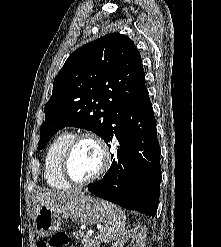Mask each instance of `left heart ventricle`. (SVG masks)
<instances>
[{"label":"left heart ventricle","instance_id":"left-heart-ventricle-1","mask_svg":"<svg viewBox=\"0 0 221 247\" xmlns=\"http://www.w3.org/2000/svg\"><path fill=\"white\" fill-rule=\"evenodd\" d=\"M101 165L98 146L91 140H82L73 151L70 172L74 179L82 181L93 176Z\"/></svg>","mask_w":221,"mask_h":247}]
</instances>
